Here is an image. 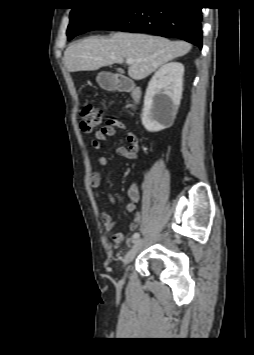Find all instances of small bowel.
I'll return each instance as SVG.
<instances>
[{"instance_id": "obj_1", "label": "small bowel", "mask_w": 254, "mask_h": 355, "mask_svg": "<svg viewBox=\"0 0 254 355\" xmlns=\"http://www.w3.org/2000/svg\"><path fill=\"white\" fill-rule=\"evenodd\" d=\"M122 130L126 133V139L128 142L127 146H119L116 149L117 154L120 157L129 159V160H134L137 157V153L139 150V143H138V138L137 136L130 132L125 124L117 119H109L106 124L95 133L94 139L91 142V146L95 151H100L102 149V142L108 139L109 137H112L117 130ZM107 163V160L105 157L100 156L96 159L95 162V167L96 168H101L105 166ZM101 174L98 171H95L92 173L90 177V185L91 187L96 190L95 196L99 197V193L97 192V189L101 185ZM108 199L110 202L114 205H119L118 199L111 193L107 192ZM128 197H129V202L126 204L125 209L127 212L132 214L134 216V219L129 225V231L134 232L136 231L140 224H141V214L136 211V204L140 199V194H139V188L137 184L133 183L130 185L128 189ZM101 221L104 226L105 231L110 234L112 240L115 243H121L125 240L126 234L123 232H119L116 230L117 228V221L112 218V216L107 212L103 211L101 213Z\"/></svg>"}]
</instances>
